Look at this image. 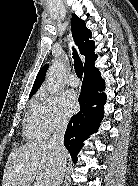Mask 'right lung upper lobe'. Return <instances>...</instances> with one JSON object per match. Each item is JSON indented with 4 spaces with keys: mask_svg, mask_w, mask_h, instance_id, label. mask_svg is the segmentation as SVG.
Returning <instances> with one entry per match:
<instances>
[{
    "mask_svg": "<svg viewBox=\"0 0 138 186\" xmlns=\"http://www.w3.org/2000/svg\"><path fill=\"white\" fill-rule=\"evenodd\" d=\"M72 34L74 40L78 46L79 52L85 56V74H99L97 68L94 67V61L97 59V55L94 53L95 44L94 41H90L92 33L89 29L86 28V23L82 19L78 18L75 14L72 16ZM48 65H44L40 69L36 80L34 82L33 88L30 92V95H33L37 89L41 86L47 70Z\"/></svg>",
    "mask_w": 138,
    "mask_h": 186,
    "instance_id": "1",
    "label": "right lung upper lobe"
}]
</instances>
